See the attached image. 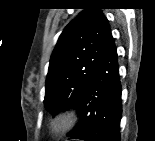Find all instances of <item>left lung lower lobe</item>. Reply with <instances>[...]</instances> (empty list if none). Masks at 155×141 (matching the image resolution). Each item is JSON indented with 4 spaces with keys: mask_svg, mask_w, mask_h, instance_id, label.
<instances>
[{
    "mask_svg": "<svg viewBox=\"0 0 155 141\" xmlns=\"http://www.w3.org/2000/svg\"><path fill=\"white\" fill-rule=\"evenodd\" d=\"M80 122L69 133L83 141H120L121 83L114 39L109 42L76 107Z\"/></svg>",
    "mask_w": 155,
    "mask_h": 141,
    "instance_id": "0a47b994",
    "label": "left lung lower lobe"
}]
</instances>
